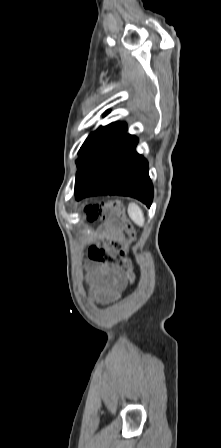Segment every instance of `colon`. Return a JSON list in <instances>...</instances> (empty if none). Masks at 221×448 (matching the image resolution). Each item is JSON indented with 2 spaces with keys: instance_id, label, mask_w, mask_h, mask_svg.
Returning <instances> with one entry per match:
<instances>
[{
  "instance_id": "colon-1",
  "label": "colon",
  "mask_w": 221,
  "mask_h": 448,
  "mask_svg": "<svg viewBox=\"0 0 221 448\" xmlns=\"http://www.w3.org/2000/svg\"><path fill=\"white\" fill-rule=\"evenodd\" d=\"M106 211L116 220L112 221L115 227H122L131 237L135 235L132 223L126 218L123 206L120 202L110 201L104 204H93L85 210L88 221H95ZM89 259L95 264H109L113 266L132 268V262L127 256V245L121 242H113L109 247L93 246L89 249Z\"/></svg>"
}]
</instances>
